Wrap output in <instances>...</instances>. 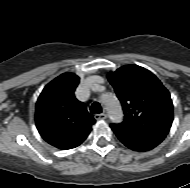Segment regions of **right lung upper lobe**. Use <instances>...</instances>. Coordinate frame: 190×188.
<instances>
[{
  "label": "right lung upper lobe",
  "mask_w": 190,
  "mask_h": 188,
  "mask_svg": "<svg viewBox=\"0 0 190 188\" xmlns=\"http://www.w3.org/2000/svg\"><path fill=\"white\" fill-rule=\"evenodd\" d=\"M79 77L64 73L41 92L35 109V122L42 138L50 145L68 150L79 146L91 131L94 117L74 96Z\"/></svg>",
  "instance_id": "1"
}]
</instances>
